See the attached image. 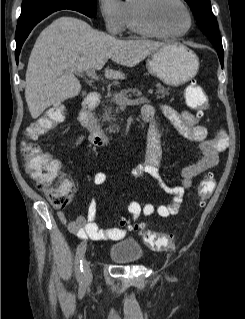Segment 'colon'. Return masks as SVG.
Masks as SVG:
<instances>
[{
  "label": "colon",
  "mask_w": 245,
  "mask_h": 319,
  "mask_svg": "<svg viewBox=\"0 0 245 319\" xmlns=\"http://www.w3.org/2000/svg\"><path fill=\"white\" fill-rule=\"evenodd\" d=\"M185 99L188 107L202 113L209 108V99L204 89L196 84H189L185 90ZM65 110L62 107H52L45 114L33 122L26 133L27 141L22 144L24 166L36 187L43 191L56 208H65L72 200L74 183L68 173L62 171L58 159L41 150L34 143L38 137L45 135L65 119ZM215 187L212 174L204 176L198 188L200 205L211 195ZM120 225L138 231L146 245L154 249L173 250L174 240L171 235L152 231L145 223H132L120 220Z\"/></svg>",
  "instance_id": "5ec220e1"
}]
</instances>
